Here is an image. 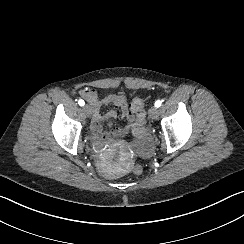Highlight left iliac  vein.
I'll return each instance as SVG.
<instances>
[{
	"instance_id": "4c4485c4",
	"label": "left iliac vein",
	"mask_w": 244,
	"mask_h": 244,
	"mask_svg": "<svg viewBox=\"0 0 244 244\" xmlns=\"http://www.w3.org/2000/svg\"><path fill=\"white\" fill-rule=\"evenodd\" d=\"M149 116L152 118V119H156L159 115V110L157 107L153 106L149 109Z\"/></svg>"
}]
</instances>
